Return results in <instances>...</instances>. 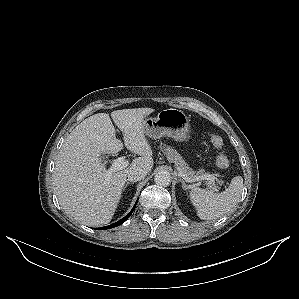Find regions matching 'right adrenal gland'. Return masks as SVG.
<instances>
[{
	"mask_svg": "<svg viewBox=\"0 0 299 299\" xmlns=\"http://www.w3.org/2000/svg\"><path fill=\"white\" fill-rule=\"evenodd\" d=\"M130 184V182H127L123 188V191L127 188V186Z\"/></svg>",
	"mask_w": 299,
	"mask_h": 299,
	"instance_id": "2a0ac1e0",
	"label": "right adrenal gland"
}]
</instances>
